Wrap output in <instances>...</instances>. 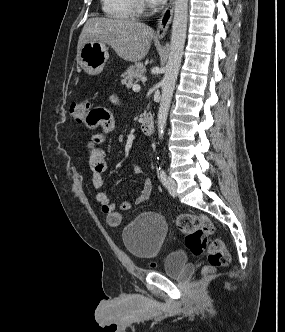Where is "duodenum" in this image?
<instances>
[{"label": "duodenum", "instance_id": "1", "mask_svg": "<svg viewBox=\"0 0 285 332\" xmlns=\"http://www.w3.org/2000/svg\"><path fill=\"white\" fill-rule=\"evenodd\" d=\"M142 131L145 135H152L155 130L154 119L149 113H145L141 121Z\"/></svg>", "mask_w": 285, "mask_h": 332}]
</instances>
